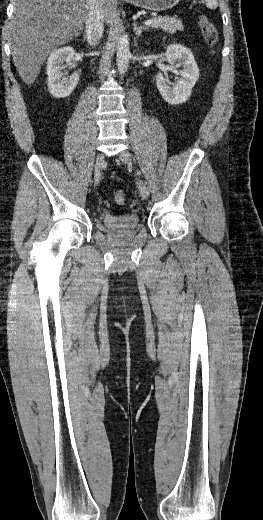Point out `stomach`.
Here are the masks:
<instances>
[{
    "instance_id": "1",
    "label": "stomach",
    "mask_w": 263,
    "mask_h": 520,
    "mask_svg": "<svg viewBox=\"0 0 263 520\" xmlns=\"http://www.w3.org/2000/svg\"><path fill=\"white\" fill-rule=\"evenodd\" d=\"M180 0H126V2L151 11H165L173 8Z\"/></svg>"
}]
</instances>
